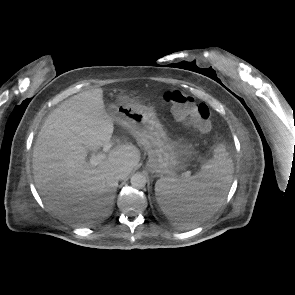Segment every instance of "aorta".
<instances>
[{"label":"aorta","mask_w":295,"mask_h":295,"mask_svg":"<svg viewBox=\"0 0 295 295\" xmlns=\"http://www.w3.org/2000/svg\"><path fill=\"white\" fill-rule=\"evenodd\" d=\"M130 182L134 188H143L146 185L147 179L142 173H135L131 177Z\"/></svg>","instance_id":"obj_1"}]
</instances>
